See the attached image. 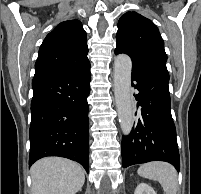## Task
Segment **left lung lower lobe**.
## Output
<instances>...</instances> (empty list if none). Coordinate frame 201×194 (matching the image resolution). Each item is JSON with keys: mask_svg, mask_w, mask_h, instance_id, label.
Masks as SVG:
<instances>
[{"mask_svg": "<svg viewBox=\"0 0 201 194\" xmlns=\"http://www.w3.org/2000/svg\"><path fill=\"white\" fill-rule=\"evenodd\" d=\"M117 54V53H115ZM138 121L129 136L122 138V166L160 160L180 169L176 129L171 116L169 76L157 70L132 68Z\"/></svg>", "mask_w": 201, "mask_h": 194, "instance_id": "obj_1", "label": "left lung lower lobe"}]
</instances>
